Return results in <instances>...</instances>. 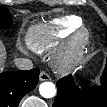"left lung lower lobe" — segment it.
Listing matches in <instances>:
<instances>
[{
  "mask_svg": "<svg viewBox=\"0 0 107 107\" xmlns=\"http://www.w3.org/2000/svg\"><path fill=\"white\" fill-rule=\"evenodd\" d=\"M99 88H79L72 76L60 79L53 107H107V64Z\"/></svg>",
  "mask_w": 107,
  "mask_h": 107,
  "instance_id": "left-lung-lower-lobe-1",
  "label": "left lung lower lobe"
}]
</instances>
